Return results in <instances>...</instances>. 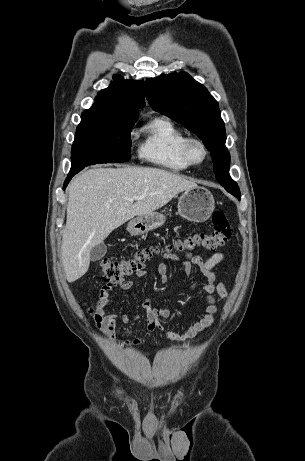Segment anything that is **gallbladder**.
Wrapping results in <instances>:
<instances>
[{"instance_id":"bac80fb5","label":"gallbladder","mask_w":305,"mask_h":461,"mask_svg":"<svg viewBox=\"0 0 305 461\" xmlns=\"http://www.w3.org/2000/svg\"><path fill=\"white\" fill-rule=\"evenodd\" d=\"M107 252V247L104 243L98 244L91 249L90 260L95 262L100 260Z\"/></svg>"}]
</instances>
